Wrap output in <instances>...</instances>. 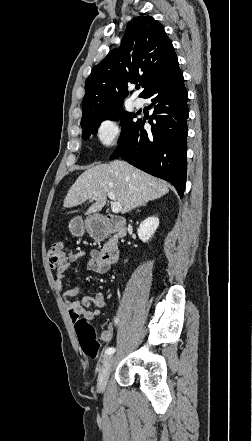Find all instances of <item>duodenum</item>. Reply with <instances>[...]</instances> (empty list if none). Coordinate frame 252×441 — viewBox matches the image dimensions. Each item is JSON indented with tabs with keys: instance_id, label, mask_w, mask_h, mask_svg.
Segmentation results:
<instances>
[{
	"instance_id": "duodenum-1",
	"label": "duodenum",
	"mask_w": 252,
	"mask_h": 441,
	"mask_svg": "<svg viewBox=\"0 0 252 441\" xmlns=\"http://www.w3.org/2000/svg\"><path fill=\"white\" fill-rule=\"evenodd\" d=\"M90 231L95 239H103L107 232H115L116 238L111 239L103 248L100 254L101 260L111 265L116 262L119 255L118 238L126 234L125 222L114 215H106L102 219L90 222Z\"/></svg>"
}]
</instances>
